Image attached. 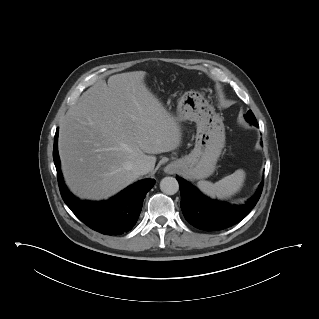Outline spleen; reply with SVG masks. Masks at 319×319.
<instances>
[{"mask_svg": "<svg viewBox=\"0 0 319 319\" xmlns=\"http://www.w3.org/2000/svg\"><path fill=\"white\" fill-rule=\"evenodd\" d=\"M245 172L242 169L236 170L233 174L228 175L216 183L209 181H199L197 183L201 192L211 198L226 199L237 193L243 186Z\"/></svg>", "mask_w": 319, "mask_h": 319, "instance_id": "obj_1", "label": "spleen"}]
</instances>
